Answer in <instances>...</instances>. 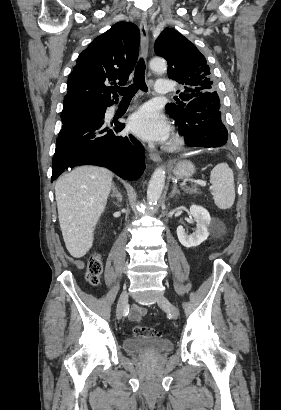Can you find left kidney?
Masks as SVG:
<instances>
[{
	"label": "left kidney",
	"mask_w": 281,
	"mask_h": 410,
	"mask_svg": "<svg viewBox=\"0 0 281 410\" xmlns=\"http://www.w3.org/2000/svg\"><path fill=\"white\" fill-rule=\"evenodd\" d=\"M190 214L193 216L194 220L197 223L195 231L192 234L187 235L182 226H179L177 228L178 239L180 243L186 248L196 247L208 238V227L211 222L209 212L201 206L192 205L190 207Z\"/></svg>",
	"instance_id": "1"
}]
</instances>
